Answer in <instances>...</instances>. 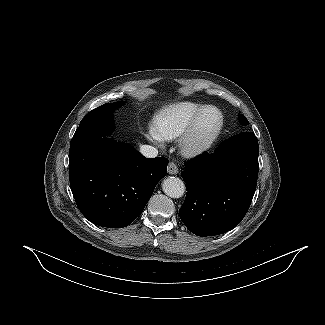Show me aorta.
<instances>
[{
    "label": "aorta",
    "mask_w": 325,
    "mask_h": 325,
    "mask_svg": "<svg viewBox=\"0 0 325 325\" xmlns=\"http://www.w3.org/2000/svg\"><path fill=\"white\" fill-rule=\"evenodd\" d=\"M164 193L171 198H180L184 195L185 184L177 177H168L162 183Z\"/></svg>",
    "instance_id": "1"
}]
</instances>
